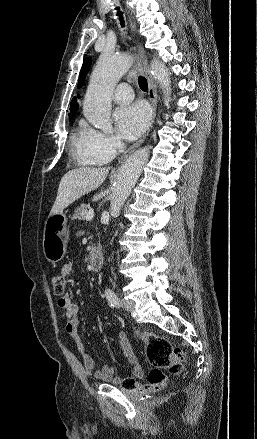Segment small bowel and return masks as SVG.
I'll return each mask as SVG.
<instances>
[{"label": "small bowel", "mask_w": 257, "mask_h": 439, "mask_svg": "<svg viewBox=\"0 0 257 439\" xmlns=\"http://www.w3.org/2000/svg\"><path fill=\"white\" fill-rule=\"evenodd\" d=\"M72 273V265L70 263L64 264L60 269V275L67 277ZM60 308L65 310L67 325L66 332L73 339L76 349L84 364L85 372L88 375L93 376L95 379L107 382L112 385L122 384L125 379H122L115 373V368L111 364H104L99 369L95 368V364L91 356L89 355L85 343L78 334V327L80 324L79 306L74 303L68 295L60 297L57 301ZM117 345L121 349L127 365L137 379H141L143 376V370L138 363L135 356L132 354L127 336L125 333L120 332L117 335Z\"/></svg>", "instance_id": "c3829d8e"}]
</instances>
